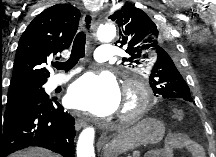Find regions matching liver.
Segmentation results:
<instances>
[{
    "label": "liver",
    "instance_id": "obj_1",
    "mask_svg": "<svg viewBox=\"0 0 216 157\" xmlns=\"http://www.w3.org/2000/svg\"><path fill=\"white\" fill-rule=\"evenodd\" d=\"M10 157H58V155L43 148L30 147L13 153Z\"/></svg>",
    "mask_w": 216,
    "mask_h": 157
}]
</instances>
